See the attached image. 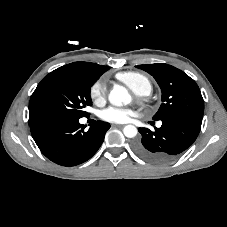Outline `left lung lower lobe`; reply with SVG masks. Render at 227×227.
Returning a JSON list of instances; mask_svg holds the SVG:
<instances>
[{"instance_id": "obj_1", "label": "left lung lower lobe", "mask_w": 227, "mask_h": 227, "mask_svg": "<svg viewBox=\"0 0 227 227\" xmlns=\"http://www.w3.org/2000/svg\"><path fill=\"white\" fill-rule=\"evenodd\" d=\"M160 120L162 126L155 128V131L139 128L142 138L134 144L135 152L152 163L169 162L190 147L202 124V118L192 115H177Z\"/></svg>"}]
</instances>
